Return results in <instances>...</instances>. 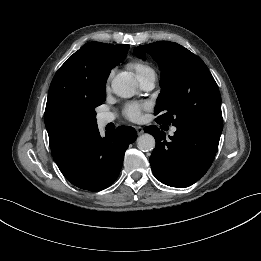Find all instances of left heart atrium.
Wrapping results in <instances>:
<instances>
[{"label": "left heart atrium", "instance_id": "left-heart-atrium-1", "mask_svg": "<svg viewBox=\"0 0 261 261\" xmlns=\"http://www.w3.org/2000/svg\"><path fill=\"white\" fill-rule=\"evenodd\" d=\"M148 108L146 103L130 102L124 107V115L131 121H139L142 118L143 110Z\"/></svg>", "mask_w": 261, "mask_h": 261}]
</instances>
